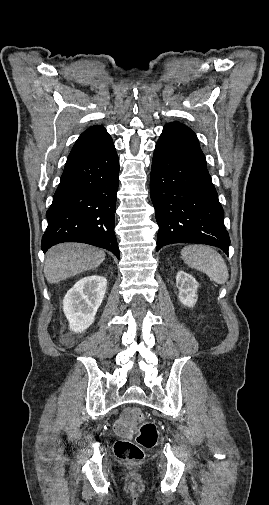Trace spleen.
Segmentation results:
<instances>
[{
  "label": "spleen",
  "instance_id": "obj_1",
  "mask_svg": "<svg viewBox=\"0 0 269 505\" xmlns=\"http://www.w3.org/2000/svg\"><path fill=\"white\" fill-rule=\"evenodd\" d=\"M181 257L189 267L204 272L216 284H223L229 278L224 258L209 246H185L181 250Z\"/></svg>",
  "mask_w": 269,
  "mask_h": 505
}]
</instances>
